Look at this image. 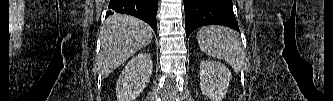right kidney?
Listing matches in <instances>:
<instances>
[{
  "mask_svg": "<svg viewBox=\"0 0 333 101\" xmlns=\"http://www.w3.org/2000/svg\"><path fill=\"white\" fill-rule=\"evenodd\" d=\"M153 63L149 53L133 57L123 69L116 86L118 101H133L150 81Z\"/></svg>",
  "mask_w": 333,
  "mask_h": 101,
  "instance_id": "ca27d5eb",
  "label": "right kidney"
}]
</instances>
